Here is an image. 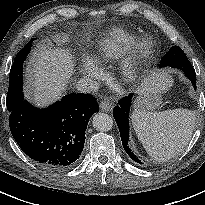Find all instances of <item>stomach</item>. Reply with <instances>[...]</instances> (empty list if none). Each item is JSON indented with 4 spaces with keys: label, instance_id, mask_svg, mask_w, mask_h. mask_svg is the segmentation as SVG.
<instances>
[{
    "label": "stomach",
    "instance_id": "stomach-1",
    "mask_svg": "<svg viewBox=\"0 0 205 205\" xmlns=\"http://www.w3.org/2000/svg\"><path fill=\"white\" fill-rule=\"evenodd\" d=\"M167 87L168 83H159L152 90L140 91L134 101V109L142 112L154 111L162 103L161 98Z\"/></svg>",
    "mask_w": 205,
    "mask_h": 205
}]
</instances>
